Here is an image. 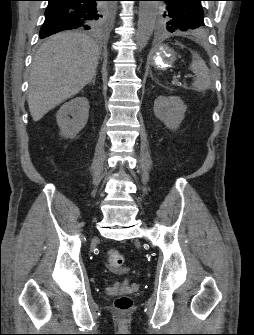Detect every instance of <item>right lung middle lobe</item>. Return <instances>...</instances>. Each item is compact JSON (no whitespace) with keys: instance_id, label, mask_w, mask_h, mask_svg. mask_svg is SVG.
<instances>
[{"instance_id":"right-lung-middle-lobe-1","label":"right lung middle lobe","mask_w":254,"mask_h":335,"mask_svg":"<svg viewBox=\"0 0 254 335\" xmlns=\"http://www.w3.org/2000/svg\"><path fill=\"white\" fill-rule=\"evenodd\" d=\"M100 9V14L97 16L98 19L96 20V25L94 28L99 27L100 25H102V23L105 21V19L107 18V10L104 8H99ZM92 28V29H94Z\"/></svg>"}]
</instances>
